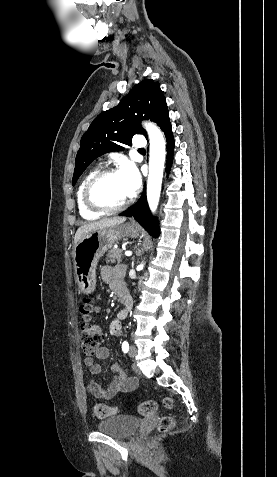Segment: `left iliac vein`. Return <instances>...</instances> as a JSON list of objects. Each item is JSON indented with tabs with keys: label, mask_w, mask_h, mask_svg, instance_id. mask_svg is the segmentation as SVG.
<instances>
[{
	"label": "left iliac vein",
	"mask_w": 277,
	"mask_h": 477,
	"mask_svg": "<svg viewBox=\"0 0 277 477\" xmlns=\"http://www.w3.org/2000/svg\"><path fill=\"white\" fill-rule=\"evenodd\" d=\"M128 354L131 358H135V356L137 355V348L134 345H131ZM134 368L137 369L136 367Z\"/></svg>",
	"instance_id": "obj_1"
}]
</instances>
